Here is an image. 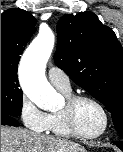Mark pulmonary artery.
<instances>
[{
    "instance_id": "obj_1",
    "label": "pulmonary artery",
    "mask_w": 123,
    "mask_h": 152,
    "mask_svg": "<svg viewBox=\"0 0 123 152\" xmlns=\"http://www.w3.org/2000/svg\"><path fill=\"white\" fill-rule=\"evenodd\" d=\"M49 81L58 89L71 90L70 79L68 75L58 67L52 66L47 72Z\"/></svg>"
}]
</instances>
